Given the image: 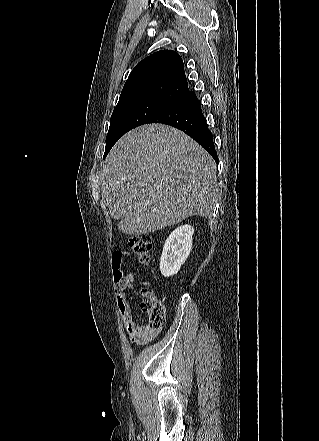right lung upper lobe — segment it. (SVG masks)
Instances as JSON below:
<instances>
[{"label":"right lung upper lobe","mask_w":319,"mask_h":441,"mask_svg":"<svg viewBox=\"0 0 319 441\" xmlns=\"http://www.w3.org/2000/svg\"><path fill=\"white\" fill-rule=\"evenodd\" d=\"M188 91L180 55L173 50H161L135 66L123 87L118 104L144 97L175 103Z\"/></svg>","instance_id":"1"}]
</instances>
